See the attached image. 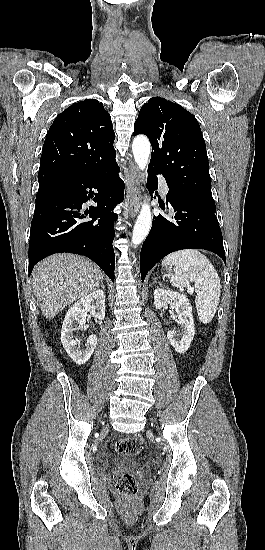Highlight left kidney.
<instances>
[{"label":"left kidney","instance_id":"1","mask_svg":"<svg viewBox=\"0 0 265 550\" xmlns=\"http://www.w3.org/2000/svg\"><path fill=\"white\" fill-rule=\"evenodd\" d=\"M154 305L156 309L170 305L175 308L178 316L177 323L181 330H170L167 338L178 353H185L194 338L195 327L192 316V306L187 297L170 289L157 288L154 291Z\"/></svg>","mask_w":265,"mask_h":550}]
</instances>
